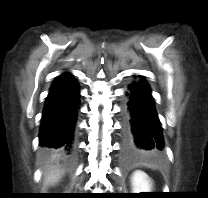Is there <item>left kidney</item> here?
Listing matches in <instances>:
<instances>
[{
    "label": "left kidney",
    "instance_id": "left-kidney-1",
    "mask_svg": "<svg viewBox=\"0 0 208 198\" xmlns=\"http://www.w3.org/2000/svg\"><path fill=\"white\" fill-rule=\"evenodd\" d=\"M132 193L151 192L152 181L143 171H135L131 177Z\"/></svg>",
    "mask_w": 208,
    "mask_h": 198
}]
</instances>
